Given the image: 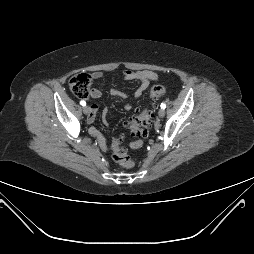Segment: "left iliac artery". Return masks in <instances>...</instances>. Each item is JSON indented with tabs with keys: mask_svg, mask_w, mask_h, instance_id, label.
<instances>
[{
	"mask_svg": "<svg viewBox=\"0 0 254 254\" xmlns=\"http://www.w3.org/2000/svg\"><path fill=\"white\" fill-rule=\"evenodd\" d=\"M161 108L165 109L166 108V104L165 103H161Z\"/></svg>",
	"mask_w": 254,
	"mask_h": 254,
	"instance_id": "1",
	"label": "left iliac artery"
}]
</instances>
